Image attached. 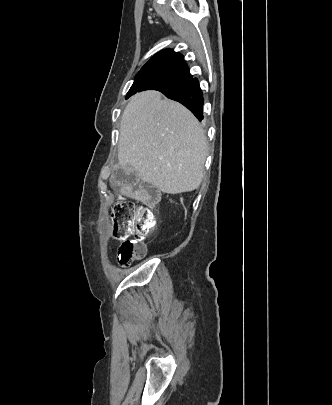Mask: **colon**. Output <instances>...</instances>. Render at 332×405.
Listing matches in <instances>:
<instances>
[{
	"label": "colon",
	"mask_w": 332,
	"mask_h": 405,
	"mask_svg": "<svg viewBox=\"0 0 332 405\" xmlns=\"http://www.w3.org/2000/svg\"><path fill=\"white\" fill-rule=\"evenodd\" d=\"M139 202L121 201L112 208L113 235L122 240L117 259L120 265L128 266L146 256L142 239L157 226V216L151 208L159 200L158 191L144 184L139 191ZM134 236V239H129Z\"/></svg>",
	"instance_id": "obj_1"
}]
</instances>
